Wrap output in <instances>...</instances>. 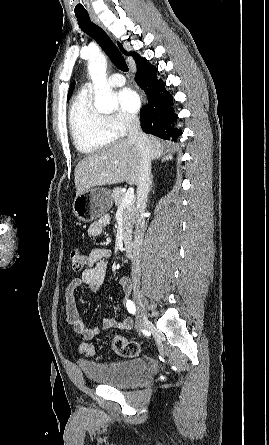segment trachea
I'll return each instance as SVG.
<instances>
[{
    "label": "trachea",
    "instance_id": "1",
    "mask_svg": "<svg viewBox=\"0 0 269 445\" xmlns=\"http://www.w3.org/2000/svg\"><path fill=\"white\" fill-rule=\"evenodd\" d=\"M76 18L81 30L96 40V42L108 55L112 63L118 69L122 70L123 72H127L129 69L124 57L105 31L93 23L89 15H76Z\"/></svg>",
    "mask_w": 269,
    "mask_h": 445
}]
</instances>
